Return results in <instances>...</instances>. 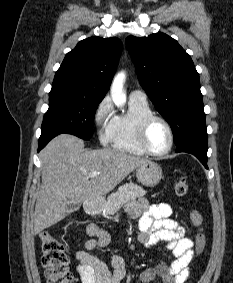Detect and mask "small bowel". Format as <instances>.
<instances>
[{"label":"small bowel","instance_id":"c3829d8e","mask_svg":"<svg viewBox=\"0 0 233 283\" xmlns=\"http://www.w3.org/2000/svg\"><path fill=\"white\" fill-rule=\"evenodd\" d=\"M128 212L139 219V243L148 249L163 244L173 257L169 265L161 262L141 272L137 283H149L155 278H159L162 283H185L194 256L193 241L185 237L183 227L170 218V205H150L145 199H140L128 206ZM87 232L91 238L85 243L84 249L75 254L82 283H121L126 275L122 257L111 255L113 272H110L104 262L89 253L95 248L106 247L110 235L95 224L90 225Z\"/></svg>","mask_w":233,"mask_h":283}]
</instances>
